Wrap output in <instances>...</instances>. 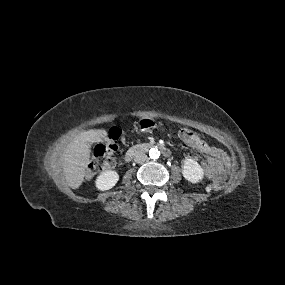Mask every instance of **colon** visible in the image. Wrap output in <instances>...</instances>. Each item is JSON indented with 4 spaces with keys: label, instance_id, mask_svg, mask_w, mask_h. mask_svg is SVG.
<instances>
[{
    "label": "colon",
    "instance_id": "1",
    "mask_svg": "<svg viewBox=\"0 0 285 285\" xmlns=\"http://www.w3.org/2000/svg\"><path fill=\"white\" fill-rule=\"evenodd\" d=\"M118 138L119 132L112 130L105 142H101L95 146L92 158L85 172L86 178L89 179L114 165L113 151L116 148ZM180 138L190 146H195L199 141L198 135L189 129H182L180 131ZM223 187L224 182L221 179H215L210 183V189L213 191H219Z\"/></svg>",
    "mask_w": 285,
    "mask_h": 285
}]
</instances>
